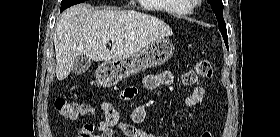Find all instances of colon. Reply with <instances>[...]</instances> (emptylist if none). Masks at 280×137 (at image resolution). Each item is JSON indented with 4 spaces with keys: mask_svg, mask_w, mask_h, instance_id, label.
I'll return each mask as SVG.
<instances>
[{
    "mask_svg": "<svg viewBox=\"0 0 280 137\" xmlns=\"http://www.w3.org/2000/svg\"><path fill=\"white\" fill-rule=\"evenodd\" d=\"M212 75V64L208 60H202L184 74L183 83L192 86L200 79H209ZM123 98L129 100L133 98V95L129 90H125ZM54 107L61 117L71 120L82 118L91 110L87 104H79L61 97L54 101ZM203 137H211V135L205 133Z\"/></svg>",
    "mask_w": 280,
    "mask_h": 137,
    "instance_id": "colon-1",
    "label": "colon"
}]
</instances>
